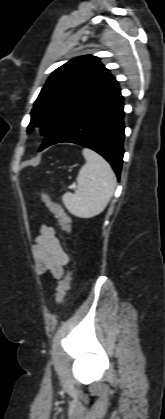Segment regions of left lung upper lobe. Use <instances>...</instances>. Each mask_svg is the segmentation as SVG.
Segmentation results:
<instances>
[{
    "instance_id": "left-lung-upper-lobe-1",
    "label": "left lung upper lobe",
    "mask_w": 165,
    "mask_h": 419,
    "mask_svg": "<svg viewBox=\"0 0 165 419\" xmlns=\"http://www.w3.org/2000/svg\"><path fill=\"white\" fill-rule=\"evenodd\" d=\"M115 81L95 56L74 58L48 78L31 111L27 131L41 125L45 137L52 133L82 102Z\"/></svg>"
}]
</instances>
